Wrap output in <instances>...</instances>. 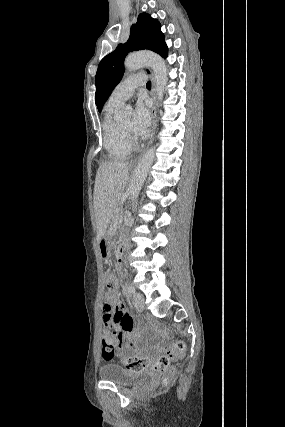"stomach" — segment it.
<instances>
[{"label": "stomach", "instance_id": "obj_1", "mask_svg": "<svg viewBox=\"0 0 285 427\" xmlns=\"http://www.w3.org/2000/svg\"><path fill=\"white\" fill-rule=\"evenodd\" d=\"M98 248L102 257H109L111 252V237L109 234H104L100 238Z\"/></svg>", "mask_w": 285, "mask_h": 427}]
</instances>
